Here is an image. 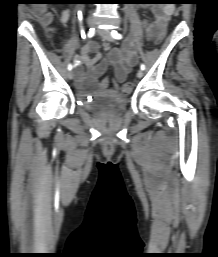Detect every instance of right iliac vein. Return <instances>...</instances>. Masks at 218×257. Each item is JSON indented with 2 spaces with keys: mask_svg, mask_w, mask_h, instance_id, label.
<instances>
[{
  "mask_svg": "<svg viewBox=\"0 0 218 257\" xmlns=\"http://www.w3.org/2000/svg\"><path fill=\"white\" fill-rule=\"evenodd\" d=\"M96 24V20L94 18H89L88 19V26L90 28L94 27ZM67 77L69 80H72L74 78V73L72 71H69L67 74Z\"/></svg>",
  "mask_w": 218,
  "mask_h": 257,
  "instance_id": "obj_1",
  "label": "right iliac vein"
}]
</instances>
